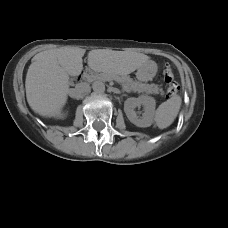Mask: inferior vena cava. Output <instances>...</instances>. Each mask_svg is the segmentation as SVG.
<instances>
[{
    "label": "inferior vena cava",
    "mask_w": 228,
    "mask_h": 228,
    "mask_svg": "<svg viewBox=\"0 0 228 228\" xmlns=\"http://www.w3.org/2000/svg\"><path fill=\"white\" fill-rule=\"evenodd\" d=\"M90 92V86L87 83H79L71 91V97L77 100L83 98L86 94Z\"/></svg>",
    "instance_id": "inferior-vena-cava-1"
}]
</instances>
